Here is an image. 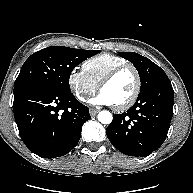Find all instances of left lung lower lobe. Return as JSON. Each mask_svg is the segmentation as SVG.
<instances>
[{
  "mask_svg": "<svg viewBox=\"0 0 193 193\" xmlns=\"http://www.w3.org/2000/svg\"><path fill=\"white\" fill-rule=\"evenodd\" d=\"M174 91L167 76L140 93L135 104L122 114H113L106 128L112 145L123 154L145 157L164 142L173 116Z\"/></svg>",
  "mask_w": 193,
  "mask_h": 193,
  "instance_id": "1",
  "label": "left lung lower lobe"
}]
</instances>
